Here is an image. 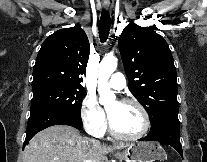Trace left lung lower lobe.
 <instances>
[{
  "label": "left lung lower lobe",
  "instance_id": "1",
  "mask_svg": "<svg viewBox=\"0 0 207 162\" xmlns=\"http://www.w3.org/2000/svg\"><path fill=\"white\" fill-rule=\"evenodd\" d=\"M149 134L140 140L158 141L164 145H170L183 157L180 143V122L178 112H166L159 115L151 122Z\"/></svg>",
  "mask_w": 207,
  "mask_h": 162
}]
</instances>
